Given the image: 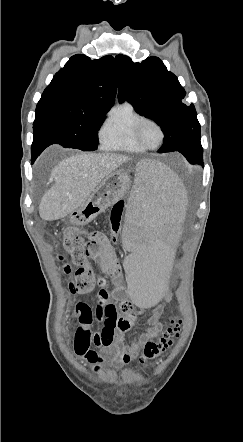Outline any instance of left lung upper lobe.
I'll return each mask as SVG.
<instances>
[{
	"label": "left lung upper lobe",
	"instance_id": "5c2ea615",
	"mask_svg": "<svg viewBox=\"0 0 243 442\" xmlns=\"http://www.w3.org/2000/svg\"><path fill=\"white\" fill-rule=\"evenodd\" d=\"M116 62L118 99L130 102L136 112L153 119L161 127L164 141L159 153H182L200 144V124L195 107L183 103L184 88L158 57L134 63L128 56L119 54Z\"/></svg>",
	"mask_w": 243,
	"mask_h": 442
}]
</instances>
